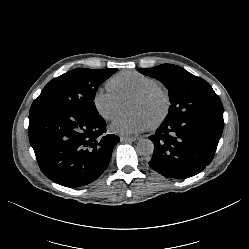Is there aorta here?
I'll return each mask as SVG.
<instances>
[{
  "mask_svg": "<svg viewBox=\"0 0 249 249\" xmlns=\"http://www.w3.org/2000/svg\"><path fill=\"white\" fill-rule=\"evenodd\" d=\"M154 151V144L149 139H141L137 143V152L140 155L148 156L151 155Z\"/></svg>",
  "mask_w": 249,
  "mask_h": 249,
  "instance_id": "obj_1",
  "label": "aorta"
}]
</instances>
